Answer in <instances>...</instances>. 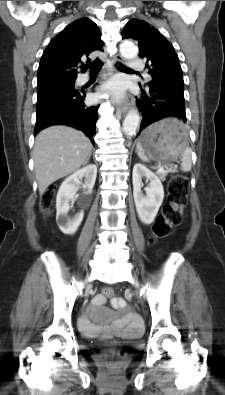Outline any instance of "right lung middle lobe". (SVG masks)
<instances>
[{
	"mask_svg": "<svg viewBox=\"0 0 225 395\" xmlns=\"http://www.w3.org/2000/svg\"><path fill=\"white\" fill-rule=\"evenodd\" d=\"M74 81L75 80H70V81H65V82H60L56 84H51L43 87H38V94H37V100L44 98L46 95L50 94L51 92L55 90H60V89H73L74 88Z\"/></svg>",
	"mask_w": 225,
	"mask_h": 395,
	"instance_id": "obj_1",
	"label": "right lung middle lobe"
}]
</instances>
